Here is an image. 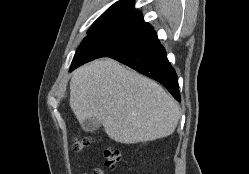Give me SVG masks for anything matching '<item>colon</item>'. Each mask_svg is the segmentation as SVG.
Masks as SVG:
<instances>
[{"label": "colon", "instance_id": "obj_1", "mask_svg": "<svg viewBox=\"0 0 249 174\" xmlns=\"http://www.w3.org/2000/svg\"><path fill=\"white\" fill-rule=\"evenodd\" d=\"M92 143V139L87 136L76 138L72 144V150L76 153L83 152ZM122 159L121 150L115 147H109L104 151V161L107 167L114 168Z\"/></svg>", "mask_w": 249, "mask_h": 174}]
</instances>
